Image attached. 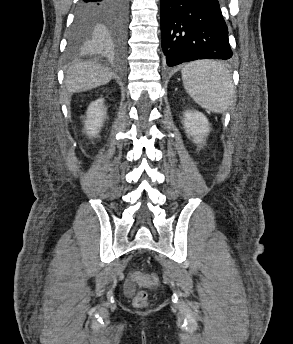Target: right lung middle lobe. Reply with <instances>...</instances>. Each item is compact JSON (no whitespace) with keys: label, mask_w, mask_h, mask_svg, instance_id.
I'll list each match as a JSON object with an SVG mask.
<instances>
[{"label":"right lung middle lobe","mask_w":293,"mask_h":344,"mask_svg":"<svg viewBox=\"0 0 293 344\" xmlns=\"http://www.w3.org/2000/svg\"><path fill=\"white\" fill-rule=\"evenodd\" d=\"M98 27L97 19L90 13L77 8V13L70 34V46L77 49L94 45L95 31Z\"/></svg>","instance_id":"1"}]
</instances>
